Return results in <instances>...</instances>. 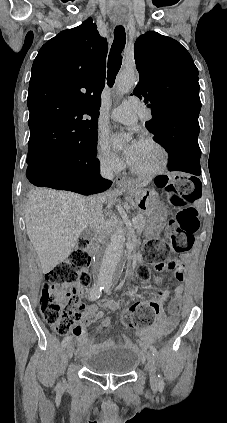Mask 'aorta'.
I'll list each match as a JSON object with an SVG mask.
<instances>
[{
	"instance_id": "1",
	"label": "aorta",
	"mask_w": 227,
	"mask_h": 423,
	"mask_svg": "<svg viewBox=\"0 0 227 423\" xmlns=\"http://www.w3.org/2000/svg\"><path fill=\"white\" fill-rule=\"evenodd\" d=\"M137 79L134 71L122 72L118 77L117 92H129L137 83ZM124 246V229L118 226L110 240L97 247L92 266L99 286L110 287L119 280L125 265Z\"/></svg>"
}]
</instances>
